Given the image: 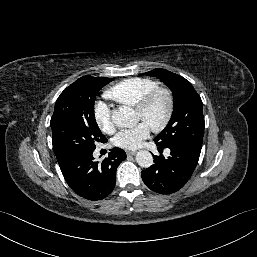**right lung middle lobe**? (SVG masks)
<instances>
[{
    "instance_id": "1",
    "label": "right lung middle lobe",
    "mask_w": 257,
    "mask_h": 257,
    "mask_svg": "<svg viewBox=\"0 0 257 257\" xmlns=\"http://www.w3.org/2000/svg\"><path fill=\"white\" fill-rule=\"evenodd\" d=\"M110 81L107 77L83 76L58 97L50 121L58 162L92 153L96 142H107L95 120L94 102L98 91Z\"/></svg>"
}]
</instances>
